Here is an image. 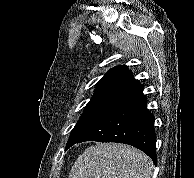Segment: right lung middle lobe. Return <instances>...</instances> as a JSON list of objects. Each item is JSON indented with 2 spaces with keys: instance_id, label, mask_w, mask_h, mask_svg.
<instances>
[{
  "instance_id": "dd1d6c3e",
  "label": "right lung middle lobe",
  "mask_w": 194,
  "mask_h": 178,
  "mask_svg": "<svg viewBox=\"0 0 194 178\" xmlns=\"http://www.w3.org/2000/svg\"><path fill=\"white\" fill-rule=\"evenodd\" d=\"M122 105L123 103L117 101L91 100L84 108L83 114L73 128L66 149Z\"/></svg>"
}]
</instances>
